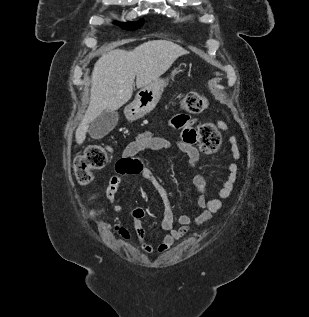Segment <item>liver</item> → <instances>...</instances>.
I'll return each instance as SVG.
<instances>
[{
  "label": "liver",
  "instance_id": "1",
  "mask_svg": "<svg viewBox=\"0 0 309 317\" xmlns=\"http://www.w3.org/2000/svg\"><path fill=\"white\" fill-rule=\"evenodd\" d=\"M188 54L181 46L167 40H153L132 51L112 50L94 65L91 77L90 103L75 132L82 144L89 125L103 111H116L126 104L137 88L157 81L180 56Z\"/></svg>",
  "mask_w": 309,
  "mask_h": 317
}]
</instances>
